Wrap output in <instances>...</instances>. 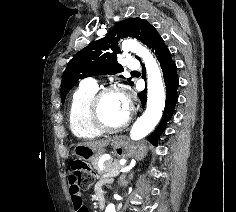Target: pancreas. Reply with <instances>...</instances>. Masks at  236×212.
Segmentation results:
<instances>
[{"mask_svg":"<svg viewBox=\"0 0 236 212\" xmlns=\"http://www.w3.org/2000/svg\"><path fill=\"white\" fill-rule=\"evenodd\" d=\"M92 165L93 168L98 171L99 177L101 178L106 177L107 174H110L112 171L121 168L119 161L112 158L104 162V171L99 170L98 159L93 160Z\"/></svg>","mask_w":236,"mask_h":212,"instance_id":"obj_1","label":"pancreas"}]
</instances>
